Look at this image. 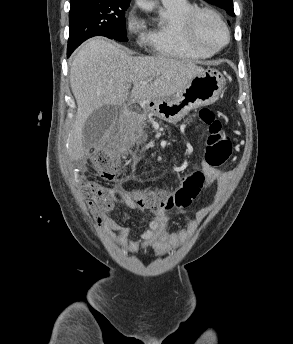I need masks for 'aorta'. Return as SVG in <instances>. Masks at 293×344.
Returning a JSON list of instances; mask_svg holds the SVG:
<instances>
[{
	"label": "aorta",
	"instance_id": "aorta-1",
	"mask_svg": "<svg viewBox=\"0 0 293 344\" xmlns=\"http://www.w3.org/2000/svg\"><path fill=\"white\" fill-rule=\"evenodd\" d=\"M136 4L144 11H152L154 4L149 0H136Z\"/></svg>",
	"mask_w": 293,
	"mask_h": 344
}]
</instances>
